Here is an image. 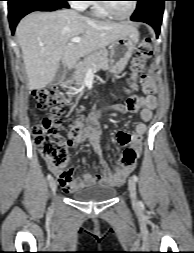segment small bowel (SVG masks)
<instances>
[{
	"label": "small bowel",
	"instance_id": "obj_1",
	"mask_svg": "<svg viewBox=\"0 0 194 253\" xmlns=\"http://www.w3.org/2000/svg\"><path fill=\"white\" fill-rule=\"evenodd\" d=\"M142 90L145 94L143 97H138V93H133V97H126V104H119L113 107V112L118 113H139L141 121L135 126L134 132L130 133L120 130L117 133V142L122 146H129L137 153V157L142 150V139L147 132V122L152 118V112L157 107L158 101L155 95L156 85L148 75H143L141 78ZM100 113H96L89 119V125L85 130H81L79 135L67 141V146L70 149H77L83 142L89 141L99 163L102 167V173L92 175L84 173L80 178H75L73 169L60 170L52 165L49 169L57 176V179L67 193L75 192L84 187L94 184L119 185L123 183L125 178L135 168V163L129 167H116L114 171L102 159L101 149V127L99 124Z\"/></svg>",
	"mask_w": 194,
	"mask_h": 253
}]
</instances>
